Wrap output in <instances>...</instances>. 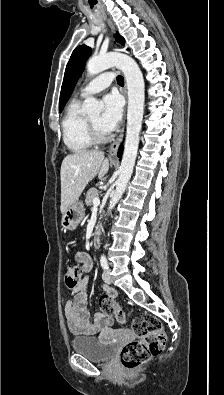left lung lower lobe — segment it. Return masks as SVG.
<instances>
[{
    "label": "left lung lower lobe",
    "mask_w": 224,
    "mask_h": 395,
    "mask_svg": "<svg viewBox=\"0 0 224 395\" xmlns=\"http://www.w3.org/2000/svg\"><path fill=\"white\" fill-rule=\"evenodd\" d=\"M121 152H122V148L120 147V149H119V153H118V156H120V155H121Z\"/></svg>",
    "instance_id": "0a47b994"
}]
</instances>
